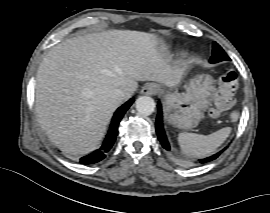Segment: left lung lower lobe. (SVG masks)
Segmentation results:
<instances>
[{
    "label": "left lung lower lobe",
    "instance_id": "0a47b994",
    "mask_svg": "<svg viewBox=\"0 0 270 213\" xmlns=\"http://www.w3.org/2000/svg\"><path fill=\"white\" fill-rule=\"evenodd\" d=\"M156 133L158 135V139L160 140L162 146L164 147V149H166L167 151H170V145L168 143V140L166 138L164 129H163V124H162V111H161V105H158V115H157V119H156ZM224 151V149L210 157H207L205 159H200L199 163H207L210 162L214 159H216L222 152Z\"/></svg>",
    "mask_w": 270,
    "mask_h": 213
}]
</instances>
